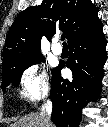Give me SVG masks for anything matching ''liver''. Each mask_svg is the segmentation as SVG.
<instances>
[{"instance_id":"6515ba94","label":"liver","mask_w":108,"mask_h":127,"mask_svg":"<svg viewBox=\"0 0 108 127\" xmlns=\"http://www.w3.org/2000/svg\"><path fill=\"white\" fill-rule=\"evenodd\" d=\"M9 127H54V125L51 123L47 126L45 118L41 115V113H31L20 118Z\"/></svg>"}]
</instances>
